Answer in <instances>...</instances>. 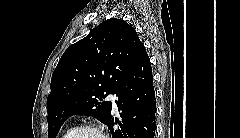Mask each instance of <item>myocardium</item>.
Listing matches in <instances>:
<instances>
[{
    "label": "myocardium",
    "mask_w": 240,
    "mask_h": 138,
    "mask_svg": "<svg viewBox=\"0 0 240 138\" xmlns=\"http://www.w3.org/2000/svg\"><path fill=\"white\" fill-rule=\"evenodd\" d=\"M84 131H93L96 132L100 138H105L103 131L95 124H83L76 127L67 138H77L78 135Z\"/></svg>",
    "instance_id": "1"
}]
</instances>
